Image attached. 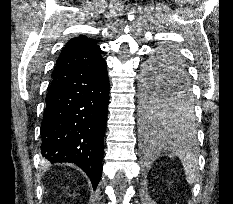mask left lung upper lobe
Returning a JSON list of instances; mask_svg holds the SVG:
<instances>
[{"mask_svg": "<svg viewBox=\"0 0 233 204\" xmlns=\"http://www.w3.org/2000/svg\"><path fill=\"white\" fill-rule=\"evenodd\" d=\"M183 65L181 57L171 48H162L147 62L143 76L146 124L153 123L169 130L193 131L196 117L190 83L172 90L163 84L170 83L173 75L181 73Z\"/></svg>", "mask_w": 233, "mask_h": 204, "instance_id": "5c2ea615", "label": "left lung upper lobe"}]
</instances>
